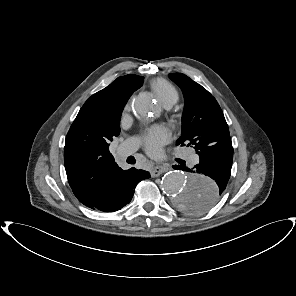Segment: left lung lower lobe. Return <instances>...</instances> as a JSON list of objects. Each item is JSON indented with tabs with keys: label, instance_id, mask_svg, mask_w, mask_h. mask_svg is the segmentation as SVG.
Here are the masks:
<instances>
[{
	"label": "left lung lower lobe",
	"instance_id": "0a47b994",
	"mask_svg": "<svg viewBox=\"0 0 296 296\" xmlns=\"http://www.w3.org/2000/svg\"><path fill=\"white\" fill-rule=\"evenodd\" d=\"M218 145V148L200 156V162L192 169L184 165L174 166L175 169L193 173L192 177L209 176L217 184L215 191H208L201 197H194L188 202L186 210L189 212L199 213L208 210L218 201L226 189L233 160L231 138L219 142Z\"/></svg>",
	"mask_w": 296,
	"mask_h": 296
}]
</instances>
